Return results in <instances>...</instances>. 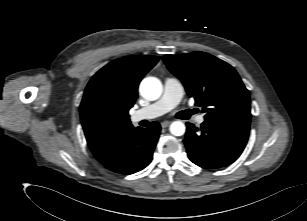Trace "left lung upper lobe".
<instances>
[{
  "instance_id": "left-lung-upper-lobe-1",
  "label": "left lung upper lobe",
  "mask_w": 307,
  "mask_h": 221,
  "mask_svg": "<svg viewBox=\"0 0 307 221\" xmlns=\"http://www.w3.org/2000/svg\"><path fill=\"white\" fill-rule=\"evenodd\" d=\"M163 61L196 105L202 106L205 120L250 126L249 91L231 65L199 51L165 55Z\"/></svg>"
}]
</instances>
